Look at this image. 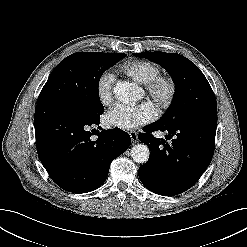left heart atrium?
Here are the masks:
<instances>
[{"instance_id":"39dd6f15","label":"left heart atrium","mask_w":247,"mask_h":247,"mask_svg":"<svg viewBox=\"0 0 247 247\" xmlns=\"http://www.w3.org/2000/svg\"><path fill=\"white\" fill-rule=\"evenodd\" d=\"M156 116L157 110L151 102L135 106L117 104L106 114V122L110 126L130 130L151 122Z\"/></svg>"}]
</instances>
